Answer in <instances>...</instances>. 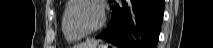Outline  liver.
<instances>
[{"mask_svg":"<svg viewBox=\"0 0 213 48\" xmlns=\"http://www.w3.org/2000/svg\"><path fill=\"white\" fill-rule=\"evenodd\" d=\"M97 45H98V41H96V40H89V41H86L85 43L77 45L74 48H93V47H96Z\"/></svg>","mask_w":213,"mask_h":48,"instance_id":"liver-1","label":"liver"}]
</instances>
